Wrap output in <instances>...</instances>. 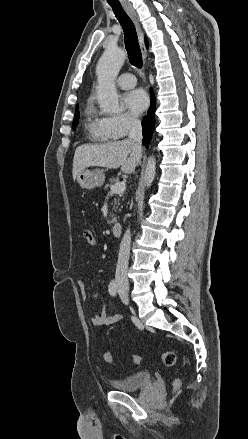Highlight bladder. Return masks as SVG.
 <instances>
[{"label": "bladder", "instance_id": "1", "mask_svg": "<svg viewBox=\"0 0 248 439\" xmlns=\"http://www.w3.org/2000/svg\"><path fill=\"white\" fill-rule=\"evenodd\" d=\"M152 384L149 372H136L121 379L111 381V386L122 392H132Z\"/></svg>", "mask_w": 248, "mask_h": 439}]
</instances>
